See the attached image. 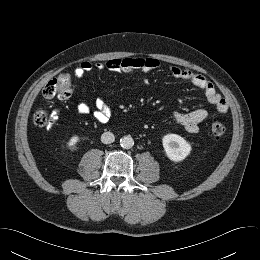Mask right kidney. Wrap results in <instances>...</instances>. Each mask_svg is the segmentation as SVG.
<instances>
[{"instance_id": "1", "label": "right kidney", "mask_w": 260, "mask_h": 260, "mask_svg": "<svg viewBox=\"0 0 260 260\" xmlns=\"http://www.w3.org/2000/svg\"><path fill=\"white\" fill-rule=\"evenodd\" d=\"M80 138L77 135H74L71 137V139L68 141L67 146L72 147L75 146L79 142Z\"/></svg>"}]
</instances>
